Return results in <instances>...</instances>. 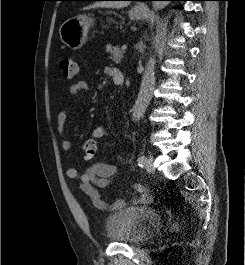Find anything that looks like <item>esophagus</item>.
Wrapping results in <instances>:
<instances>
[{
  "mask_svg": "<svg viewBox=\"0 0 245 265\" xmlns=\"http://www.w3.org/2000/svg\"><path fill=\"white\" fill-rule=\"evenodd\" d=\"M136 9H138V10H144L145 9V7H144V5H137L136 6Z\"/></svg>",
  "mask_w": 245,
  "mask_h": 265,
  "instance_id": "obj_1",
  "label": "esophagus"
}]
</instances>
